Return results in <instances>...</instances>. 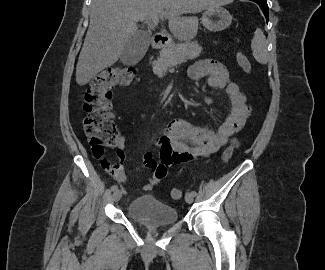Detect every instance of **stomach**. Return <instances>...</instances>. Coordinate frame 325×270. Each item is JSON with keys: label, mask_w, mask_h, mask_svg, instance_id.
<instances>
[{"label": "stomach", "mask_w": 325, "mask_h": 270, "mask_svg": "<svg viewBox=\"0 0 325 270\" xmlns=\"http://www.w3.org/2000/svg\"><path fill=\"white\" fill-rule=\"evenodd\" d=\"M232 22L231 14L224 8H208L202 15L204 27L210 31H221L226 29ZM180 40V39H179ZM184 39L180 41H187Z\"/></svg>", "instance_id": "stomach-1"}]
</instances>
